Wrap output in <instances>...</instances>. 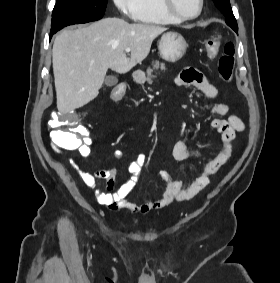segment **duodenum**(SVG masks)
Returning a JSON list of instances; mask_svg holds the SVG:
<instances>
[{"label": "duodenum", "instance_id": "410a0bca", "mask_svg": "<svg viewBox=\"0 0 280 283\" xmlns=\"http://www.w3.org/2000/svg\"><path fill=\"white\" fill-rule=\"evenodd\" d=\"M132 78L135 84H143L145 81V77L140 73H134Z\"/></svg>", "mask_w": 280, "mask_h": 283}]
</instances>
